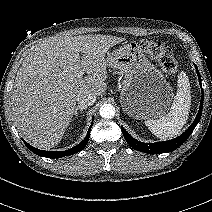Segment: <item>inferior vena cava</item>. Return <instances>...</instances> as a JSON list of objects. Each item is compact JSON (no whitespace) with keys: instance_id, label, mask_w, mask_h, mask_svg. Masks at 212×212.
Masks as SVG:
<instances>
[{"instance_id":"1","label":"inferior vena cava","mask_w":212,"mask_h":212,"mask_svg":"<svg viewBox=\"0 0 212 212\" xmlns=\"http://www.w3.org/2000/svg\"><path fill=\"white\" fill-rule=\"evenodd\" d=\"M78 104L80 106H90L96 101V96L92 93H81L77 97Z\"/></svg>"}]
</instances>
